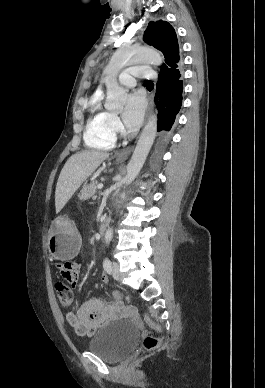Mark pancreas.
I'll return each mask as SVG.
<instances>
[{
    "instance_id": "obj_1",
    "label": "pancreas",
    "mask_w": 265,
    "mask_h": 388,
    "mask_svg": "<svg viewBox=\"0 0 265 388\" xmlns=\"http://www.w3.org/2000/svg\"><path fill=\"white\" fill-rule=\"evenodd\" d=\"M98 184V180H94V182H90V184L84 186L78 198H80V200H88V198H92V196H95Z\"/></svg>"
}]
</instances>
